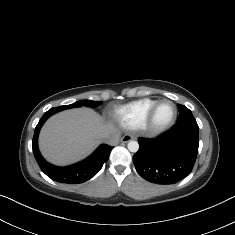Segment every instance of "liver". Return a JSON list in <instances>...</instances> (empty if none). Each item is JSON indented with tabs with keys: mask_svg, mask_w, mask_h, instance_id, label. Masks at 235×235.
Segmentation results:
<instances>
[{
	"mask_svg": "<svg viewBox=\"0 0 235 235\" xmlns=\"http://www.w3.org/2000/svg\"><path fill=\"white\" fill-rule=\"evenodd\" d=\"M116 130L93 109L82 107L51 116L39 134V149L50 163L66 166L90 155L102 142V135Z\"/></svg>",
	"mask_w": 235,
	"mask_h": 235,
	"instance_id": "1",
	"label": "liver"
}]
</instances>
